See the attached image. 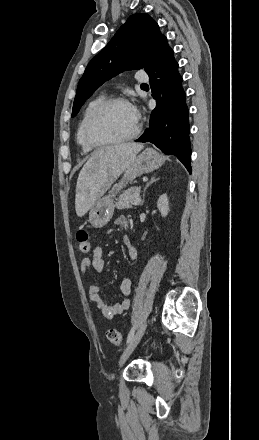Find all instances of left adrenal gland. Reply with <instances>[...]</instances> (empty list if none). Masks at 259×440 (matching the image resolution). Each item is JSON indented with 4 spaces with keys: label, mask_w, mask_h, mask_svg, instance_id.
<instances>
[{
    "label": "left adrenal gland",
    "mask_w": 259,
    "mask_h": 440,
    "mask_svg": "<svg viewBox=\"0 0 259 440\" xmlns=\"http://www.w3.org/2000/svg\"><path fill=\"white\" fill-rule=\"evenodd\" d=\"M155 176H156V175H153L152 178H151V180H150V181L146 184V186L144 187V190H143V199H142L140 205H143V203H144L146 189H147L152 183H154V182H156L157 180H159V178H156Z\"/></svg>",
    "instance_id": "obj_1"
}]
</instances>
